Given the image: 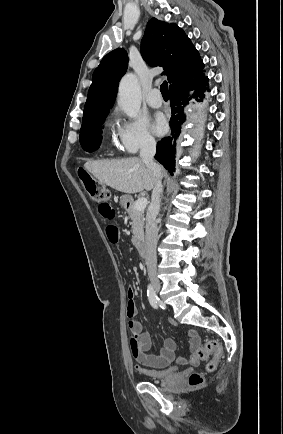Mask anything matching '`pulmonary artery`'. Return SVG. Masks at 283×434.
Listing matches in <instances>:
<instances>
[{
  "mask_svg": "<svg viewBox=\"0 0 283 434\" xmlns=\"http://www.w3.org/2000/svg\"><path fill=\"white\" fill-rule=\"evenodd\" d=\"M147 103L152 108H159L162 105V99L158 89H152L147 97Z\"/></svg>",
  "mask_w": 283,
  "mask_h": 434,
  "instance_id": "e3ab8cb5",
  "label": "pulmonary artery"
}]
</instances>
